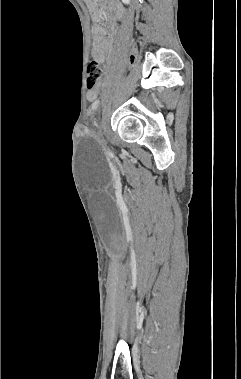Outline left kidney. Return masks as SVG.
I'll use <instances>...</instances> for the list:
<instances>
[{"label":"left kidney","mask_w":241,"mask_h":379,"mask_svg":"<svg viewBox=\"0 0 241 379\" xmlns=\"http://www.w3.org/2000/svg\"><path fill=\"white\" fill-rule=\"evenodd\" d=\"M124 4H129L130 0H122Z\"/></svg>","instance_id":"left-kidney-1"}]
</instances>
